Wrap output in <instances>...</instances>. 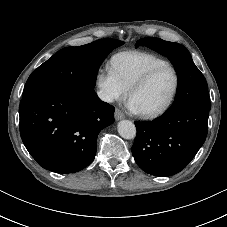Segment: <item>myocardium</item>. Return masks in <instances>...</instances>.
<instances>
[{
	"label": "myocardium",
	"mask_w": 227,
	"mask_h": 227,
	"mask_svg": "<svg viewBox=\"0 0 227 227\" xmlns=\"http://www.w3.org/2000/svg\"><path fill=\"white\" fill-rule=\"evenodd\" d=\"M166 68L172 70V72L174 73V76H175V85H174L173 91H172L170 97L168 98V100L161 107H159L155 110H152V111H137V113L143 118H154V117L160 116L163 113H165L171 107V105L175 101V98H176L177 93H178L179 88H180V75H179L177 69L169 63L156 66V67L150 69L149 71H147L145 74H143L128 89V98H129V101H130L132 95L137 90L144 87L152 79V77L155 74H157L159 71L166 69Z\"/></svg>",
	"instance_id": "myocardium-1"
}]
</instances>
